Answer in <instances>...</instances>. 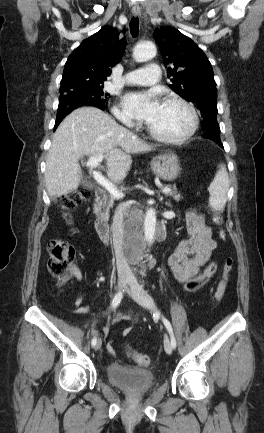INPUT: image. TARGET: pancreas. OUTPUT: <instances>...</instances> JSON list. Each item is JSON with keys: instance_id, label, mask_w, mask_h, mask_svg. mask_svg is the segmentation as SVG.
Here are the masks:
<instances>
[{"instance_id": "cf45deb5", "label": "pancreas", "mask_w": 264, "mask_h": 433, "mask_svg": "<svg viewBox=\"0 0 264 433\" xmlns=\"http://www.w3.org/2000/svg\"><path fill=\"white\" fill-rule=\"evenodd\" d=\"M169 188H171V186H169ZM167 195L173 197L176 201H179L182 198V196L176 190L175 186L172 187L171 192L167 193ZM114 200H115V198L112 195H108L105 198L103 205H102V211H103V215L105 217L109 216V211H110V208L113 207Z\"/></svg>"}]
</instances>
